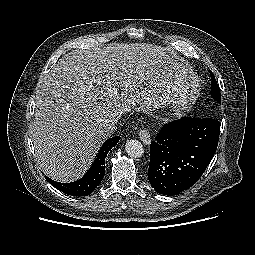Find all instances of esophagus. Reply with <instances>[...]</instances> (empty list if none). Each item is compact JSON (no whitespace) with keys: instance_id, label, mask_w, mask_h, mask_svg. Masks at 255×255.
I'll use <instances>...</instances> for the list:
<instances>
[{"instance_id":"esophagus-1","label":"esophagus","mask_w":255,"mask_h":255,"mask_svg":"<svg viewBox=\"0 0 255 255\" xmlns=\"http://www.w3.org/2000/svg\"><path fill=\"white\" fill-rule=\"evenodd\" d=\"M139 137L145 145H149L151 143L150 134L146 129H140Z\"/></svg>"}]
</instances>
